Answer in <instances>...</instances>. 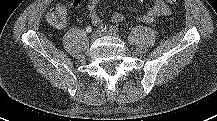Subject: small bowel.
Returning a JSON list of instances; mask_svg holds the SVG:
<instances>
[{"mask_svg": "<svg viewBox=\"0 0 217 121\" xmlns=\"http://www.w3.org/2000/svg\"><path fill=\"white\" fill-rule=\"evenodd\" d=\"M144 1V0H136ZM99 0H88L86 4L87 11L90 15L91 22L93 25H101V18L97 13V5ZM78 0H72V6H77ZM170 14L169 7L164 3L163 0H155L154 5L144 14L138 16V20L143 23H152L156 18L161 16H167ZM124 18L123 14L116 12L112 15V21L120 22Z\"/></svg>", "mask_w": 217, "mask_h": 121, "instance_id": "small-bowel-1", "label": "small bowel"}]
</instances>
